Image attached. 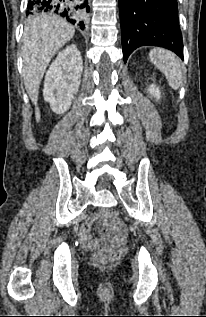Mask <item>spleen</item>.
I'll list each match as a JSON object with an SVG mask.
<instances>
[{
	"instance_id": "spleen-1",
	"label": "spleen",
	"mask_w": 206,
	"mask_h": 317,
	"mask_svg": "<svg viewBox=\"0 0 206 317\" xmlns=\"http://www.w3.org/2000/svg\"><path fill=\"white\" fill-rule=\"evenodd\" d=\"M151 62L164 73L169 85L178 89L182 80V70L175 54L164 49H153L150 54Z\"/></svg>"
}]
</instances>
